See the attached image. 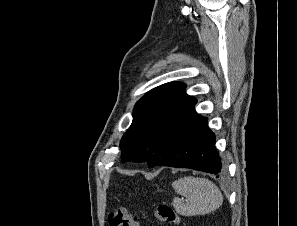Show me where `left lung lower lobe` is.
<instances>
[{"instance_id": "0a47b994", "label": "left lung lower lobe", "mask_w": 297, "mask_h": 226, "mask_svg": "<svg viewBox=\"0 0 297 226\" xmlns=\"http://www.w3.org/2000/svg\"><path fill=\"white\" fill-rule=\"evenodd\" d=\"M155 166L190 168L221 177L224 168L207 118L194 110L179 128L172 144Z\"/></svg>"}]
</instances>
